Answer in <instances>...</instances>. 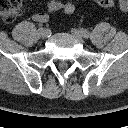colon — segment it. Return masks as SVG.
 I'll list each match as a JSON object with an SVG mask.
<instances>
[{"label": "colon", "instance_id": "5ec220e1", "mask_svg": "<svg viewBox=\"0 0 128 128\" xmlns=\"http://www.w3.org/2000/svg\"><path fill=\"white\" fill-rule=\"evenodd\" d=\"M100 6L110 8L114 5V0H95ZM119 6L123 11L128 12V0H119ZM22 8V0H0V15L10 22L18 15ZM76 6L73 1L64 4L63 10L67 14H73Z\"/></svg>", "mask_w": 128, "mask_h": 128}]
</instances>
